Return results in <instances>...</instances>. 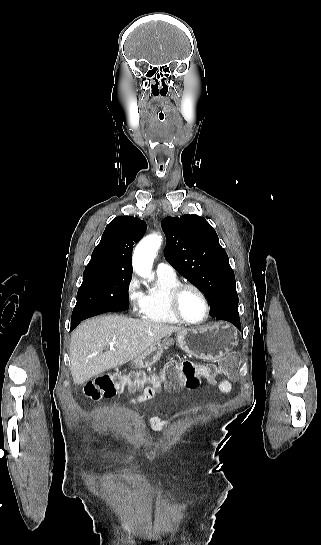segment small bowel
Masks as SVG:
<instances>
[{
    "label": "small bowel",
    "instance_id": "1",
    "mask_svg": "<svg viewBox=\"0 0 321 545\" xmlns=\"http://www.w3.org/2000/svg\"><path fill=\"white\" fill-rule=\"evenodd\" d=\"M219 389L223 393H228L231 390V383L228 382V381H222L219 384ZM154 393L155 392H154L153 387H147L143 391L141 396H139L138 398H135V399L132 400V403H138V402H143V401L149 400L154 396ZM149 423H150L151 426H153L154 428H157V429H161V428H163L165 426V422L161 421L157 417L149 418Z\"/></svg>",
    "mask_w": 321,
    "mask_h": 545
}]
</instances>
